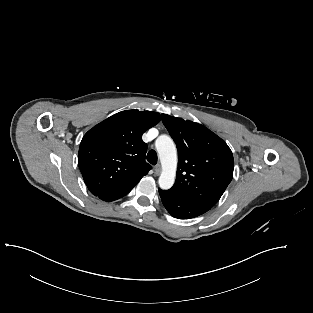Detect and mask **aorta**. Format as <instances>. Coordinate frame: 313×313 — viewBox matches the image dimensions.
Here are the masks:
<instances>
[{"label":"aorta","instance_id":"obj_1","mask_svg":"<svg viewBox=\"0 0 313 313\" xmlns=\"http://www.w3.org/2000/svg\"><path fill=\"white\" fill-rule=\"evenodd\" d=\"M156 148L161 161L162 172L158 183L161 189H170L175 181L177 169V150L173 140L167 135H161L156 142Z\"/></svg>","mask_w":313,"mask_h":313}]
</instances>
